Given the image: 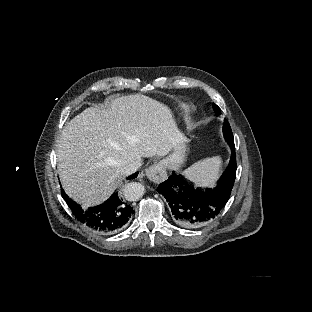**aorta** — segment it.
Here are the masks:
<instances>
[{
	"instance_id": "762f6f07",
	"label": "aorta",
	"mask_w": 312,
	"mask_h": 312,
	"mask_svg": "<svg viewBox=\"0 0 312 312\" xmlns=\"http://www.w3.org/2000/svg\"><path fill=\"white\" fill-rule=\"evenodd\" d=\"M124 193L128 201H137L144 195L145 188L141 183L131 182L125 186Z\"/></svg>"
}]
</instances>
